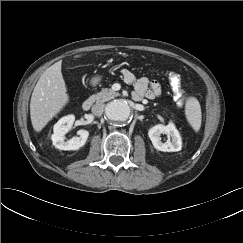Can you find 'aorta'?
Returning <instances> with one entry per match:
<instances>
[{
  "label": "aorta",
  "mask_w": 243,
  "mask_h": 243,
  "mask_svg": "<svg viewBox=\"0 0 243 243\" xmlns=\"http://www.w3.org/2000/svg\"><path fill=\"white\" fill-rule=\"evenodd\" d=\"M105 113L112 121L125 122L130 118L131 109L125 101L116 100L106 106Z\"/></svg>",
  "instance_id": "762f6f07"
}]
</instances>
